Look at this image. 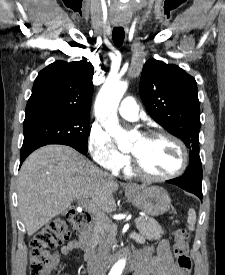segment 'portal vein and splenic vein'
<instances>
[{"instance_id": "18ae733b", "label": "portal vein and splenic vein", "mask_w": 225, "mask_h": 275, "mask_svg": "<svg viewBox=\"0 0 225 275\" xmlns=\"http://www.w3.org/2000/svg\"><path fill=\"white\" fill-rule=\"evenodd\" d=\"M83 206L85 207V208H87V209H91V208H95V206L89 201V200H84V202H83ZM142 220V218L141 217H138V218H136L135 219V222L136 223H138V222H140Z\"/></svg>"}]
</instances>
